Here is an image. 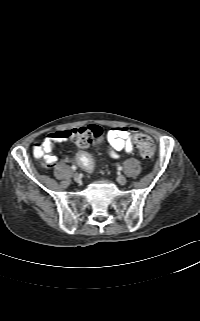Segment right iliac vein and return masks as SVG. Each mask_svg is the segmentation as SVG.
I'll list each match as a JSON object with an SVG mask.
<instances>
[{"label": "right iliac vein", "instance_id": "right-iliac-vein-1", "mask_svg": "<svg viewBox=\"0 0 200 321\" xmlns=\"http://www.w3.org/2000/svg\"><path fill=\"white\" fill-rule=\"evenodd\" d=\"M73 178H74V180H75L76 182H79V181H80V176H79L78 173H74Z\"/></svg>", "mask_w": 200, "mask_h": 321}]
</instances>
